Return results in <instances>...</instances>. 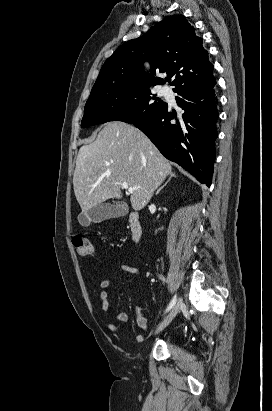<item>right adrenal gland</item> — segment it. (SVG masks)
Listing matches in <instances>:
<instances>
[{"instance_id":"1","label":"right adrenal gland","mask_w":272,"mask_h":411,"mask_svg":"<svg viewBox=\"0 0 272 411\" xmlns=\"http://www.w3.org/2000/svg\"><path fill=\"white\" fill-rule=\"evenodd\" d=\"M173 177H176V175H175L174 172H171V173L169 174L168 180L156 191V194H158V193L170 182V180H171Z\"/></svg>"}]
</instances>
